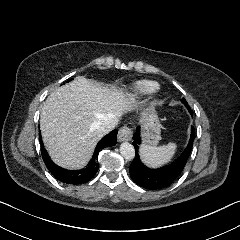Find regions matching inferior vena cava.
I'll return each mask as SVG.
<instances>
[{"instance_id":"inferior-vena-cava-1","label":"inferior vena cava","mask_w":240,"mask_h":240,"mask_svg":"<svg viewBox=\"0 0 240 240\" xmlns=\"http://www.w3.org/2000/svg\"><path fill=\"white\" fill-rule=\"evenodd\" d=\"M119 119L114 115H109L105 117L102 121L98 122V129L103 133V135L112 131L118 125Z\"/></svg>"}]
</instances>
